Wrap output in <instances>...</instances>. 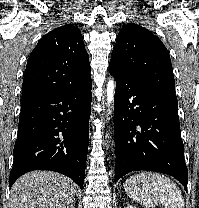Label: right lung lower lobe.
<instances>
[{
    "mask_svg": "<svg viewBox=\"0 0 199 208\" xmlns=\"http://www.w3.org/2000/svg\"><path fill=\"white\" fill-rule=\"evenodd\" d=\"M91 78L81 85L22 101L9 184L33 170L70 177L81 188L89 143Z\"/></svg>",
    "mask_w": 199,
    "mask_h": 208,
    "instance_id": "obj_1",
    "label": "right lung lower lobe"
}]
</instances>
